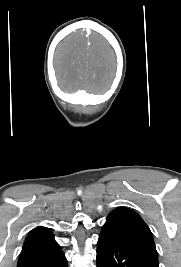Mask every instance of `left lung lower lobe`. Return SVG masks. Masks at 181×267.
Here are the masks:
<instances>
[{
    "instance_id": "1",
    "label": "left lung lower lobe",
    "mask_w": 181,
    "mask_h": 267,
    "mask_svg": "<svg viewBox=\"0 0 181 267\" xmlns=\"http://www.w3.org/2000/svg\"><path fill=\"white\" fill-rule=\"evenodd\" d=\"M97 267H159L156 248L115 227L103 226Z\"/></svg>"
}]
</instances>
